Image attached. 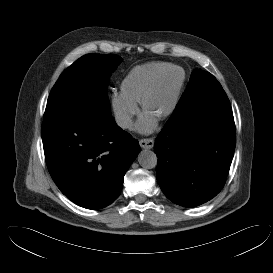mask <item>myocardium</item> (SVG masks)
Listing matches in <instances>:
<instances>
[{
	"label": "myocardium",
	"mask_w": 273,
	"mask_h": 273,
	"mask_svg": "<svg viewBox=\"0 0 273 273\" xmlns=\"http://www.w3.org/2000/svg\"><path fill=\"white\" fill-rule=\"evenodd\" d=\"M170 71H171L170 68H165V69L159 71L153 77V79L150 81V83L147 85V87L143 91V94L140 99V104H141V108H142L143 112H146L147 101H148L149 97L151 96L152 92L154 91V89L156 88L157 84L159 83L161 78ZM178 73H179V82H178V86H177L174 98L172 100V103H171L170 107L162 115H160L158 117L159 119L164 120V119L169 118L174 113V111L178 105L181 91H182L183 84H184V73L182 71H180Z\"/></svg>",
	"instance_id": "f54148a6"
}]
</instances>
